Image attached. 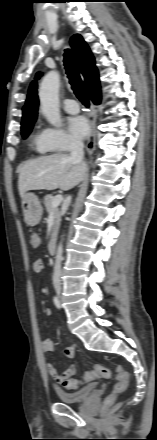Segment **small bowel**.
Returning a JSON list of instances; mask_svg holds the SVG:
<instances>
[{
    "label": "small bowel",
    "mask_w": 157,
    "mask_h": 440,
    "mask_svg": "<svg viewBox=\"0 0 157 440\" xmlns=\"http://www.w3.org/2000/svg\"><path fill=\"white\" fill-rule=\"evenodd\" d=\"M34 270L36 272H40L42 269H36L35 267H33ZM45 314L46 315H51V310L49 308H47L45 310ZM54 341L50 338H46L41 342V347L43 352L48 353L54 350ZM75 348L74 347H69L65 350V353L67 355V357L69 358H73L75 356ZM46 369L47 372L49 373V375L52 377V379L57 383V384H62L64 382L65 379L70 378L72 376H74L76 374V366L75 365H70L62 374H59L57 369L55 368V366L51 363H47L46 364Z\"/></svg>",
    "instance_id": "c3829d8e"
}]
</instances>
